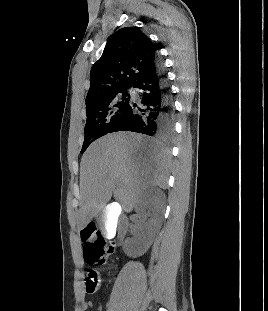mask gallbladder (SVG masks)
Instances as JSON below:
<instances>
[{"label": "gallbladder", "mask_w": 268, "mask_h": 311, "mask_svg": "<svg viewBox=\"0 0 268 311\" xmlns=\"http://www.w3.org/2000/svg\"><path fill=\"white\" fill-rule=\"evenodd\" d=\"M122 202L120 199H115L112 202H106L102 214L98 217V225L101 228V233L106 234L107 239H114L118 233L117 219L121 213Z\"/></svg>", "instance_id": "bac80fb5"}]
</instances>
